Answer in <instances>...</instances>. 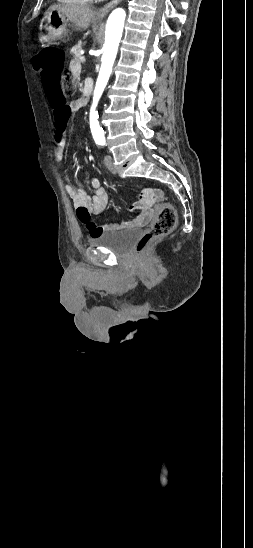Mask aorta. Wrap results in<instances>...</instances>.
<instances>
[{
    "label": "aorta",
    "mask_w": 253,
    "mask_h": 548,
    "mask_svg": "<svg viewBox=\"0 0 253 548\" xmlns=\"http://www.w3.org/2000/svg\"><path fill=\"white\" fill-rule=\"evenodd\" d=\"M125 18L126 12L122 8H117L112 11L106 24L104 53L101 58V68L94 89L93 105L90 113L91 129L95 139L104 137L103 130L100 128L97 121L98 115L95 111V107L111 75L118 46L122 37Z\"/></svg>",
    "instance_id": "aorta-1"
}]
</instances>
